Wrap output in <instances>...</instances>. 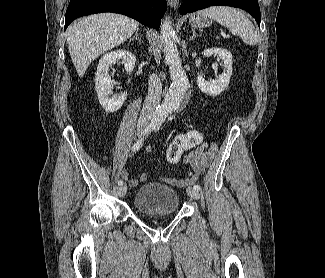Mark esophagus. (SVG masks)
I'll use <instances>...</instances> for the list:
<instances>
[{
  "instance_id": "34e87169",
  "label": "esophagus",
  "mask_w": 325,
  "mask_h": 278,
  "mask_svg": "<svg viewBox=\"0 0 325 278\" xmlns=\"http://www.w3.org/2000/svg\"><path fill=\"white\" fill-rule=\"evenodd\" d=\"M168 5L172 8H176L178 6L179 0H167Z\"/></svg>"
}]
</instances>
